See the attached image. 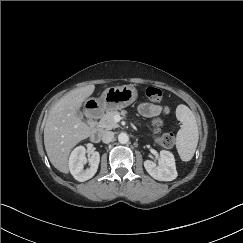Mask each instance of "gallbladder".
<instances>
[{"instance_id":"bac80fb5","label":"gallbladder","mask_w":243,"mask_h":243,"mask_svg":"<svg viewBox=\"0 0 243 243\" xmlns=\"http://www.w3.org/2000/svg\"><path fill=\"white\" fill-rule=\"evenodd\" d=\"M77 116L80 117V118H83V115L81 112H77Z\"/></svg>"}]
</instances>
